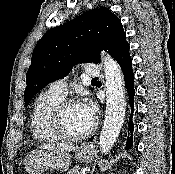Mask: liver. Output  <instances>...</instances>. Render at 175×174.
I'll use <instances>...</instances> for the list:
<instances>
[{
  "instance_id": "obj_1",
  "label": "liver",
  "mask_w": 175,
  "mask_h": 174,
  "mask_svg": "<svg viewBox=\"0 0 175 174\" xmlns=\"http://www.w3.org/2000/svg\"><path fill=\"white\" fill-rule=\"evenodd\" d=\"M78 147L71 143H60V144H46L39 147L41 150H50V151H61V152H70L75 151Z\"/></svg>"
}]
</instances>
